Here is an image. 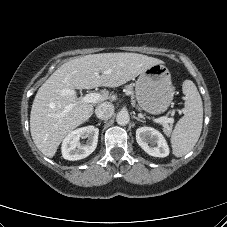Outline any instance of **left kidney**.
Segmentation results:
<instances>
[{
	"label": "left kidney",
	"instance_id": "1",
	"mask_svg": "<svg viewBox=\"0 0 227 227\" xmlns=\"http://www.w3.org/2000/svg\"><path fill=\"white\" fill-rule=\"evenodd\" d=\"M136 140L139 146L151 156L166 157L169 155V147L164 136L154 128L146 126L138 128Z\"/></svg>",
	"mask_w": 227,
	"mask_h": 227
}]
</instances>
